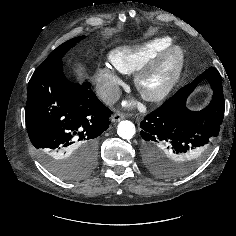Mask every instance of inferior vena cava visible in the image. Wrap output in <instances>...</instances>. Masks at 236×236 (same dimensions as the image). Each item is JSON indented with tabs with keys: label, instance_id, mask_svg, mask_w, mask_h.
I'll use <instances>...</instances> for the list:
<instances>
[{
	"label": "inferior vena cava",
	"instance_id": "1",
	"mask_svg": "<svg viewBox=\"0 0 236 236\" xmlns=\"http://www.w3.org/2000/svg\"><path fill=\"white\" fill-rule=\"evenodd\" d=\"M121 93L122 92L120 88L118 86H115V87L110 88L106 92L102 93L100 98L102 99L104 103L108 105H112L119 100Z\"/></svg>",
	"mask_w": 236,
	"mask_h": 236
}]
</instances>
